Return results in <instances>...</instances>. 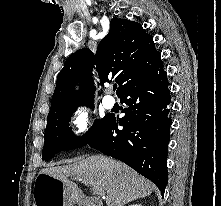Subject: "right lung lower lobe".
Returning a JSON list of instances; mask_svg holds the SVG:
<instances>
[{
  "mask_svg": "<svg viewBox=\"0 0 221 206\" xmlns=\"http://www.w3.org/2000/svg\"><path fill=\"white\" fill-rule=\"evenodd\" d=\"M124 117L109 116L88 145L126 163L156 184L167 185L170 90L162 61L119 95ZM123 127L119 130L117 126Z\"/></svg>",
  "mask_w": 221,
  "mask_h": 206,
  "instance_id": "1",
  "label": "right lung lower lobe"
}]
</instances>
